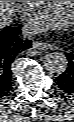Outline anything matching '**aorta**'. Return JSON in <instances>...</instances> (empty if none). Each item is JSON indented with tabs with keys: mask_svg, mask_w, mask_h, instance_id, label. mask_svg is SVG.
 I'll return each instance as SVG.
<instances>
[{
	"mask_svg": "<svg viewBox=\"0 0 74 122\" xmlns=\"http://www.w3.org/2000/svg\"><path fill=\"white\" fill-rule=\"evenodd\" d=\"M44 65L49 72L60 75L66 71L68 60L61 52H51L46 56Z\"/></svg>",
	"mask_w": 74,
	"mask_h": 122,
	"instance_id": "1",
	"label": "aorta"
}]
</instances>
